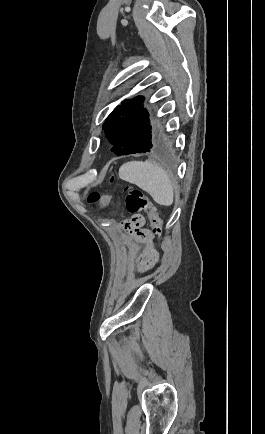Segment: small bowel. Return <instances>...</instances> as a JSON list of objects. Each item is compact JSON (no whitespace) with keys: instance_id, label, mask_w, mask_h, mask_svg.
Segmentation results:
<instances>
[{"instance_id":"1","label":"small bowel","mask_w":265,"mask_h":434,"mask_svg":"<svg viewBox=\"0 0 265 434\" xmlns=\"http://www.w3.org/2000/svg\"><path fill=\"white\" fill-rule=\"evenodd\" d=\"M145 218L141 214H135L130 220L125 222V228L135 237L145 241L150 242L152 239V234L150 231L144 228ZM158 260V254L151 250L146 253L145 262L148 264H153Z\"/></svg>"}]
</instances>
